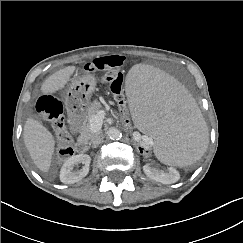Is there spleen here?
<instances>
[{
    "label": "spleen",
    "mask_w": 243,
    "mask_h": 243,
    "mask_svg": "<svg viewBox=\"0 0 243 243\" xmlns=\"http://www.w3.org/2000/svg\"><path fill=\"white\" fill-rule=\"evenodd\" d=\"M126 94L134 121L162 163L187 167L200 159L209 143L208 129L192 91L181 80L140 65L127 76Z\"/></svg>",
    "instance_id": "obj_1"
}]
</instances>
